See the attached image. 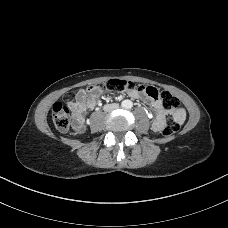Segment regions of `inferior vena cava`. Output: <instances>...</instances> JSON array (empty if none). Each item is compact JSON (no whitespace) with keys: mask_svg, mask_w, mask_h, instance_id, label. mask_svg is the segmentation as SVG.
<instances>
[{"mask_svg":"<svg viewBox=\"0 0 228 228\" xmlns=\"http://www.w3.org/2000/svg\"><path fill=\"white\" fill-rule=\"evenodd\" d=\"M117 108H118V104L113 103V104L104 105L103 110L105 112H110V111L115 110Z\"/></svg>","mask_w":228,"mask_h":228,"instance_id":"obj_1","label":"inferior vena cava"}]
</instances>
